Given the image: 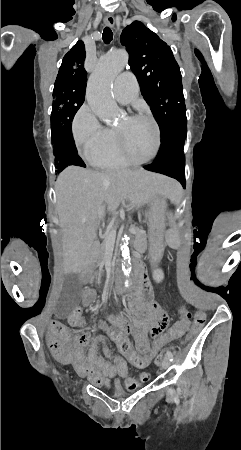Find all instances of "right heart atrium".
Returning a JSON list of instances; mask_svg holds the SVG:
<instances>
[{
	"label": "right heart atrium",
	"instance_id": "right-heart-atrium-1",
	"mask_svg": "<svg viewBox=\"0 0 241 450\" xmlns=\"http://www.w3.org/2000/svg\"><path fill=\"white\" fill-rule=\"evenodd\" d=\"M73 139L82 157L97 155L104 150L106 142L113 135L110 131H103L89 106L83 105L73 119Z\"/></svg>",
	"mask_w": 241,
	"mask_h": 450
}]
</instances>
